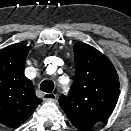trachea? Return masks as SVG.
<instances>
[{"label": "trachea", "instance_id": "trachea-1", "mask_svg": "<svg viewBox=\"0 0 131 131\" xmlns=\"http://www.w3.org/2000/svg\"><path fill=\"white\" fill-rule=\"evenodd\" d=\"M40 89L43 91V92H46V93H51L54 89V83L53 81L51 80H44L41 85H40Z\"/></svg>", "mask_w": 131, "mask_h": 131}]
</instances>
